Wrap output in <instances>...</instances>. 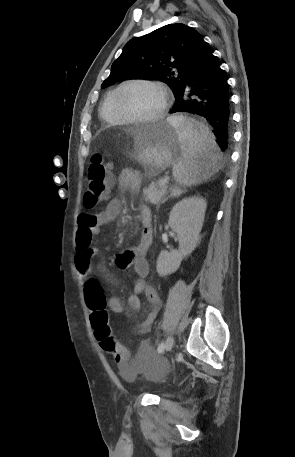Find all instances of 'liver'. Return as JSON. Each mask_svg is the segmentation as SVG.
<instances>
[{"label": "liver", "mask_w": 295, "mask_h": 457, "mask_svg": "<svg viewBox=\"0 0 295 457\" xmlns=\"http://www.w3.org/2000/svg\"><path fill=\"white\" fill-rule=\"evenodd\" d=\"M147 130H148V129L141 130V131H133L132 133H133V134H138V133L146 132Z\"/></svg>", "instance_id": "liver-1"}]
</instances>
